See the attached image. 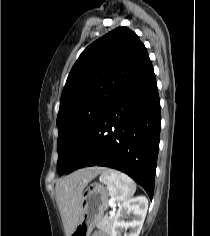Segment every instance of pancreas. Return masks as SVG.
<instances>
[{
  "instance_id": "1",
  "label": "pancreas",
  "mask_w": 210,
  "mask_h": 236,
  "mask_svg": "<svg viewBox=\"0 0 210 236\" xmlns=\"http://www.w3.org/2000/svg\"><path fill=\"white\" fill-rule=\"evenodd\" d=\"M114 222V215L108 216L105 215L102 219L98 222V228L104 230L105 232L109 233L112 230V224Z\"/></svg>"
}]
</instances>
